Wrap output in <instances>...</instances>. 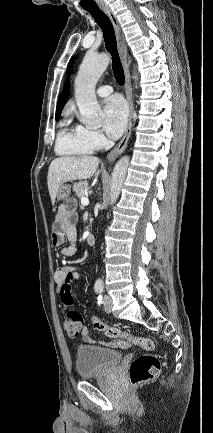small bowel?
Returning a JSON list of instances; mask_svg holds the SVG:
<instances>
[{"label": "small bowel", "mask_w": 213, "mask_h": 433, "mask_svg": "<svg viewBox=\"0 0 213 433\" xmlns=\"http://www.w3.org/2000/svg\"><path fill=\"white\" fill-rule=\"evenodd\" d=\"M76 214L68 206H61L55 222L53 225L52 243L54 246H62L65 241L68 242L66 246H62L60 254L67 258L72 257L77 251V231H76ZM72 275V279L69 280V276ZM78 274L75 268L68 263H65L60 269L54 274V281L57 285L58 292L61 293L62 289L70 285ZM63 306L67 313L72 310L71 306L63 303ZM81 336L87 343H94L95 340L90 336L89 329L83 327L81 330ZM104 345L112 348H125L127 343L122 340H114L103 343Z\"/></svg>", "instance_id": "c3829d8e"}]
</instances>
